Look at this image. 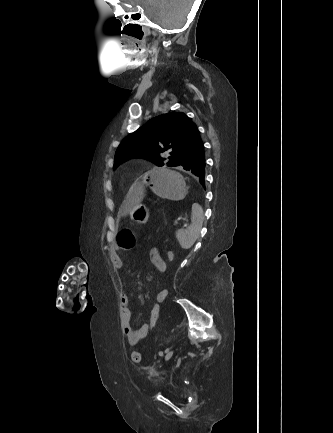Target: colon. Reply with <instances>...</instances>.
I'll return each instance as SVG.
<instances>
[{
	"instance_id": "colon-1",
	"label": "colon",
	"mask_w": 333,
	"mask_h": 433,
	"mask_svg": "<svg viewBox=\"0 0 333 433\" xmlns=\"http://www.w3.org/2000/svg\"><path fill=\"white\" fill-rule=\"evenodd\" d=\"M117 242H118V246L122 249H132L135 244H136V239L134 234L132 233L131 230L129 229H123L119 232L118 237H117ZM175 253L172 250H169L166 254H165V261L168 264H171L174 261V257ZM154 307L152 308V310H150V315L148 318V321L150 322V329L151 330H155L157 327V322L160 318V311H161V307H162V302L161 301H156L154 302ZM131 359L134 363H140L141 359H142V355L139 351H134L131 354Z\"/></svg>"
}]
</instances>
